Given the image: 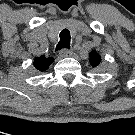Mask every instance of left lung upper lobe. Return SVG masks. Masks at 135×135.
Returning <instances> with one entry per match:
<instances>
[{"label": "left lung upper lobe", "mask_w": 135, "mask_h": 135, "mask_svg": "<svg viewBox=\"0 0 135 135\" xmlns=\"http://www.w3.org/2000/svg\"><path fill=\"white\" fill-rule=\"evenodd\" d=\"M89 61H90V64H91L92 67H96V66H98L100 64L101 57L96 51H92L90 53Z\"/></svg>", "instance_id": "5c2ea615"}]
</instances>
